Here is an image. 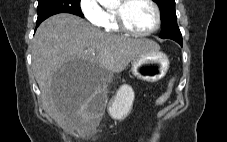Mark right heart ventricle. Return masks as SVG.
Wrapping results in <instances>:
<instances>
[{
    "mask_svg": "<svg viewBox=\"0 0 227 142\" xmlns=\"http://www.w3.org/2000/svg\"><path fill=\"white\" fill-rule=\"evenodd\" d=\"M100 26L107 33L115 34V33H119L121 31L116 24L113 10L105 11L104 19Z\"/></svg>",
    "mask_w": 227,
    "mask_h": 142,
    "instance_id": "e07e8e85",
    "label": "right heart ventricle"
}]
</instances>
